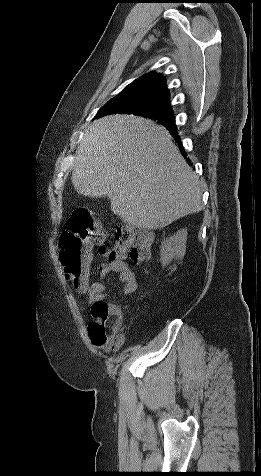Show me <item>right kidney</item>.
I'll list each match as a JSON object with an SVG mask.
<instances>
[{
	"mask_svg": "<svg viewBox=\"0 0 261 476\" xmlns=\"http://www.w3.org/2000/svg\"><path fill=\"white\" fill-rule=\"evenodd\" d=\"M187 230L182 229L167 238L160 246L161 262L168 265L173 259L182 260L186 252Z\"/></svg>",
	"mask_w": 261,
	"mask_h": 476,
	"instance_id": "right-kidney-1",
	"label": "right kidney"
}]
</instances>
